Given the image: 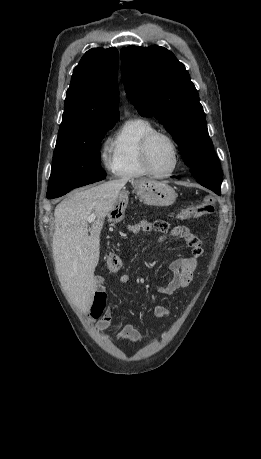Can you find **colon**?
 <instances>
[{"label": "colon", "instance_id": "obj_1", "mask_svg": "<svg viewBox=\"0 0 261 459\" xmlns=\"http://www.w3.org/2000/svg\"><path fill=\"white\" fill-rule=\"evenodd\" d=\"M215 198L211 195H206L196 205L183 208L178 212V217L183 220L196 219L201 216L212 214L214 212ZM153 228L158 232H166L169 228L167 222L156 220L153 222ZM105 268L109 273H117L122 268V260L115 253H109L104 260ZM105 309V298L102 295L94 297L93 304L90 309V314L94 318L102 315Z\"/></svg>", "mask_w": 261, "mask_h": 459}]
</instances>
